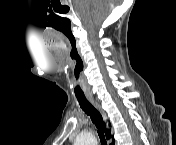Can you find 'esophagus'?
<instances>
[{"instance_id": "1", "label": "esophagus", "mask_w": 176, "mask_h": 145, "mask_svg": "<svg viewBox=\"0 0 176 145\" xmlns=\"http://www.w3.org/2000/svg\"><path fill=\"white\" fill-rule=\"evenodd\" d=\"M88 98L94 104V106L98 109V111L101 113L103 118L106 120V113L103 110V108L101 107V105L99 104V102L94 100L91 96H88Z\"/></svg>"}]
</instances>
